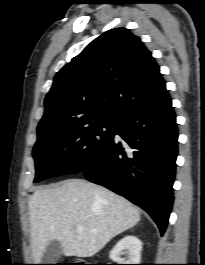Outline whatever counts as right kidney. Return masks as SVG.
Returning <instances> with one entry per match:
<instances>
[{"mask_svg":"<svg viewBox=\"0 0 205 265\" xmlns=\"http://www.w3.org/2000/svg\"><path fill=\"white\" fill-rule=\"evenodd\" d=\"M141 250L142 242L136 236L127 235L113 247L110 252V259L118 264H139ZM122 252L127 254V260L120 257Z\"/></svg>","mask_w":205,"mask_h":265,"instance_id":"obj_1","label":"right kidney"}]
</instances>
